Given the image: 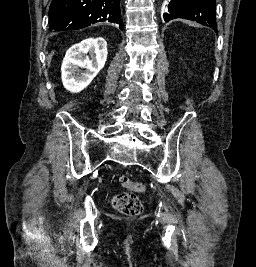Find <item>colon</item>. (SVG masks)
<instances>
[{"label": "colon", "mask_w": 256, "mask_h": 267, "mask_svg": "<svg viewBox=\"0 0 256 267\" xmlns=\"http://www.w3.org/2000/svg\"><path fill=\"white\" fill-rule=\"evenodd\" d=\"M120 183L131 190H136V192H143L146 187L134 183L130 180L129 176H120ZM125 195H120L112 199V205L115 210L125 216H138L143 211V205L134 193H124Z\"/></svg>", "instance_id": "colon-1"}]
</instances>
